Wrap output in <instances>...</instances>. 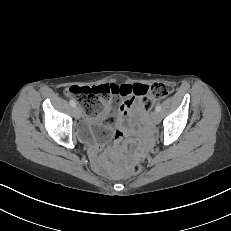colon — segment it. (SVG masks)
<instances>
[{
	"label": "colon",
	"instance_id": "obj_1",
	"mask_svg": "<svg viewBox=\"0 0 231 231\" xmlns=\"http://www.w3.org/2000/svg\"><path fill=\"white\" fill-rule=\"evenodd\" d=\"M132 92L134 98H138L145 110L151 109L155 99L167 97L172 92V87L164 83H154L151 86L145 84H134L132 87L119 86L116 84H102L97 86H71L65 91L67 96L73 97L88 114H95L106 108L104 102L108 103V111L111 114L120 102V98ZM142 165L136 162L130 169L132 174H139Z\"/></svg>",
	"mask_w": 231,
	"mask_h": 231
}]
</instances>
